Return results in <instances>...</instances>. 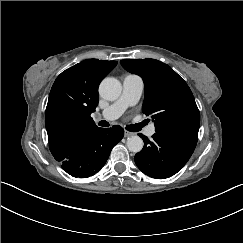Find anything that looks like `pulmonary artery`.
I'll use <instances>...</instances> for the list:
<instances>
[{"instance_id": "e3ab8cb5", "label": "pulmonary artery", "mask_w": 243, "mask_h": 243, "mask_svg": "<svg viewBox=\"0 0 243 243\" xmlns=\"http://www.w3.org/2000/svg\"><path fill=\"white\" fill-rule=\"evenodd\" d=\"M122 93L119 99L112 105L107 107L101 113L97 114L98 119L113 121L116 120L127 107L135 105L139 102L143 89L144 82L141 78H131L122 76ZM155 124L151 123L145 130L148 137L152 138L155 134Z\"/></svg>"}]
</instances>
